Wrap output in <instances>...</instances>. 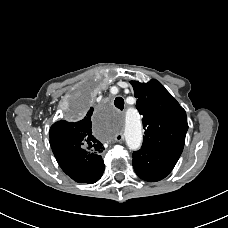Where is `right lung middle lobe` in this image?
Here are the masks:
<instances>
[{
  "mask_svg": "<svg viewBox=\"0 0 228 228\" xmlns=\"http://www.w3.org/2000/svg\"><path fill=\"white\" fill-rule=\"evenodd\" d=\"M92 96L88 91L82 92L74 101L72 111L75 114H83L91 105Z\"/></svg>",
  "mask_w": 228,
  "mask_h": 228,
  "instance_id": "dd1d6c3e",
  "label": "right lung middle lobe"
}]
</instances>
